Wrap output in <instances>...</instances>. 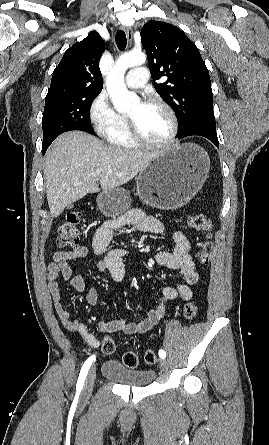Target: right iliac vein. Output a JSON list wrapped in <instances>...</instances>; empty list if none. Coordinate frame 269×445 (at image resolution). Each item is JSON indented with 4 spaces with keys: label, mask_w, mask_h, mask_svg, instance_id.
Returning a JSON list of instances; mask_svg holds the SVG:
<instances>
[{
    "label": "right iliac vein",
    "mask_w": 269,
    "mask_h": 445,
    "mask_svg": "<svg viewBox=\"0 0 269 445\" xmlns=\"http://www.w3.org/2000/svg\"><path fill=\"white\" fill-rule=\"evenodd\" d=\"M95 376H96V370H95V368H92L88 374V377L85 381L84 388L82 391V396L84 398L90 397L93 387H94Z\"/></svg>",
    "instance_id": "63e3f726"
}]
</instances>
